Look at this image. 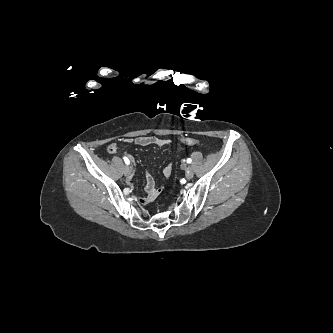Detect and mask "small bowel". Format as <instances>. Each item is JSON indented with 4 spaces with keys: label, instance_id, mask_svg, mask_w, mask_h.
<instances>
[{
    "label": "small bowel",
    "instance_id": "small-bowel-1",
    "mask_svg": "<svg viewBox=\"0 0 333 333\" xmlns=\"http://www.w3.org/2000/svg\"><path fill=\"white\" fill-rule=\"evenodd\" d=\"M134 144L138 146H150L154 145L157 147H164L168 145L169 141L160 136H140L135 139H130ZM108 151L111 154H115L118 151V146L116 143H112L108 147ZM131 158V156L129 155ZM172 164H167L164 168L163 174L165 178H170L172 175ZM146 196L140 198L142 204H148L156 199V197L162 191V187H157L153 177L150 174L146 175V185H145Z\"/></svg>",
    "mask_w": 333,
    "mask_h": 333
}]
</instances>
